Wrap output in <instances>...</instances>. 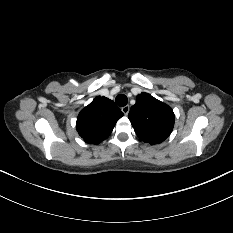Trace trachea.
Segmentation results:
<instances>
[{
    "label": "trachea",
    "instance_id": "3493384b",
    "mask_svg": "<svg viewBox=\"0 0 233 233\" xmlns=\"http://www.w3.org/2000/svg\"><path fill=\"white\" fill-rule=\"evenodd\" d=\"M115 102L117 103L118 106L124 107L128 102V98L126 95L120 94L116 97Z\"/></svg>",
    "mask_w": 233,
    "mask_h": 233
}]
</instances>
